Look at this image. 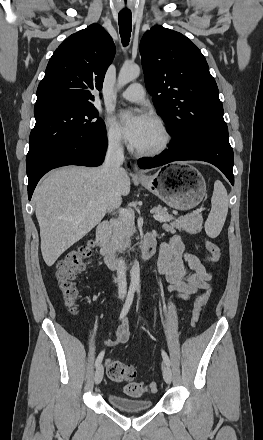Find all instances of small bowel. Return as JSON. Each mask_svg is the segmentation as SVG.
Instances as JSON below:
<instances>
[{"label": "small bowel", "mask_w": 263, "mask_h": 440, "mask_svg": "<svg viewBox=\"0 0 263 440\" xmlns=\"http://www.w3.org/2000/svg\"><path fill=\"white\" fill-rule=\"evenodd\" d=\"M149 237L155 241L153 236L147 238ZM157 271L168 289L182 300H188L199 290L207 289L212 279V273L206 269L204 261L188 252L179 236H173L168 242L160 245ZM121 320L122 324L117 328L115 338L108 341V344L126 343L130 340L129 321L124 318Z\"/></svg>", "instance_id": "1"}]
</instances>
